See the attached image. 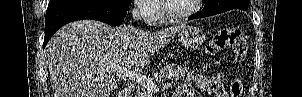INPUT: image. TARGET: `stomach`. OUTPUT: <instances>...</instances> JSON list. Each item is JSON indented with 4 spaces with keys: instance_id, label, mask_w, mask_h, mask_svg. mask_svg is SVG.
Returning a JSON list of instances; mask_svg holds the SVG:
<instances>
[{
    "instance_id": "1",
    "label": "stomach",
    "mask_w": 302,
    "mask_h": 97,
    "mask_svg": "<svg viewBox=\"0 0 302 97\" xmlns=\"http://www.w3.org/2000/svg\"><path fill=\"white\" fill-rule=\"evenodd\" d=\"M205 40L203 31L195 26H185L180 32V43L190 49H195L202 45Z\"/></svg>"
}]
</instances>
